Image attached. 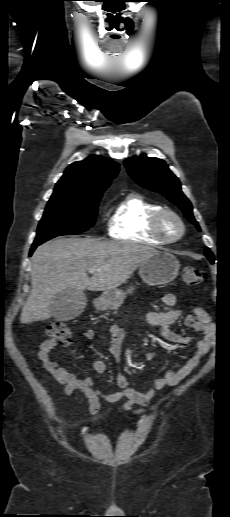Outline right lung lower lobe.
<instances>
[{"instance_id": "right-lung-lower-lobe-1", "label": "right lung lower lobe", "mask_w": 230, "mask_h": 517, "mask_svg": "<svg viewBox=\"0 0 230 517\" xmlns=\"http://www.w3.org/2000/svg\"><path fill=\"white\" fill-rule=\"evenodd\" d=\"M37 246H38V244H33V245H32V248H31L30 253H29V255H30V256L32 255L33 251L35 250V248H36Z\"/></svg>"}]
</instances>
